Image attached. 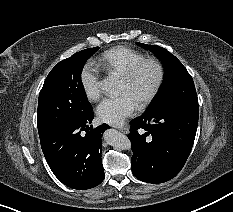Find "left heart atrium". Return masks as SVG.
<instances>
[{
  "label": "left heart atrium",
  "mask_w": 233,
  "mask_h": 212,
  "mask_svg": "<svg viewBox=\"0 0 233 212\" xmlns=\"http://www.w3.org/2000/svg\"><path fill=\"white\" fill-rule=\"evenodd\" d=\"M138 104L126 93L118 97H108L101 101L96 112L99 119L112 125H120L132 116Z\"/></svg>",
  "instance_id": "39dd6f15"
}]
</instances>
